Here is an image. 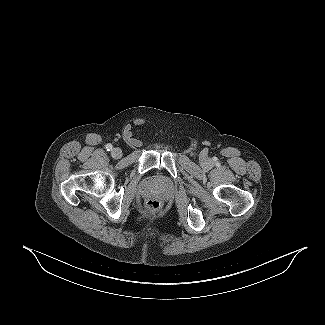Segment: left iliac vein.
I'll return each instance as SVG.
<instances>
[{
    "label": "left iliac vein",
    "mask_w": 325,
    "mask_h": 325,
    "mask_svg": "<svg viewBox=\"0 0 325 325\" xmlns=\"http://www.w3.org/2000/svg\"><path fill=\"white\" fill-rule=\"evenodd\" d=\"M202 163H203V164H208V160H207L206 158H204V159L202 160Z\"/></svg>",
    "instance_id": "4c4485c4"
}]
</instances>
